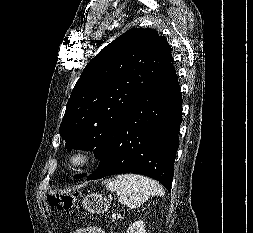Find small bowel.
Segmentation results:
<instances>
[{"instance_id": "c3829d8e", "label": "small bowel", "mask_w": 253, "mask_h": 233, "mask_svg": "<svg viewBox=\"0 0 253 233\" xmlns=\"http://www.w3.org/2000/svg\"><path fill=\"white\" fill-rule=\"evenodd\" d=\"M74 233H104V231L97 227H88L84 229H79Z\"/></svg>"}]
</instances>
